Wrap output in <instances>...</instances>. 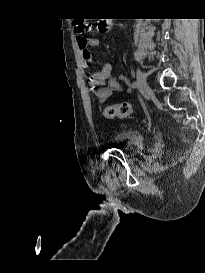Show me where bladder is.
<instances>
[{
    "label": "bladder",
    "mask_w": 205,
    "mask_h": 273,
    "mask_svg": "<svg viewBox=\"0 0 205 273\" xmlns=\"http://www.w3.org/2000/svg\"><path fill=\"white\" fill-rule=\"evenodd\" d=\"M110 141L136 151H142L145 147V137L143 133L135 129L122 130L112 135Z\"/></svg>",
    "instance_id": "31cf9c89"
}]
</instances>
